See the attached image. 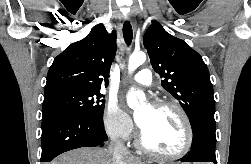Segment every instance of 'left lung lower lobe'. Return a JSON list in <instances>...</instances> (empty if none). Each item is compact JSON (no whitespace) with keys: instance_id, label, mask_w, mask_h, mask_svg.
I'll list each match as a JSON object with an SVG mask.
<instances>
[{"instance_id":"0a47b994","label":"left lung lower lobe","mask_w":251,"mask_h":164,"mask_svg":"<svg viewBox=\"0 0 251 164\" xmlns=\"http://www.w3.org/2000/svg\"><path fill=\"white\" fill-rule=\"evenodd\" d=\"M193 131L192 147L189 155L182 162H213L215 156V124L200 122Z\"/></svg>"}]
</instances>
